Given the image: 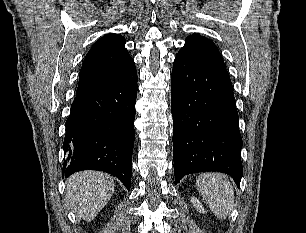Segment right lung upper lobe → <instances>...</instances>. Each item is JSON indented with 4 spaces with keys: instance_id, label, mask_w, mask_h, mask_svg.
Listing matches in <instances>:
<instances>
[{
    "instance_id": "obj_1",
    "label": "right lung upper lobe",
    "mask_w": 306,
    "mask_h": 233,
    "mask_svg": "<svg viewBox=\"0 0 306 233\" xmlns=\"http://www.w3.org/2000/svg\"><path fill=\"white\" fill-rule=\"evenodd\" d=\"M125 42L123 36L110 33L94 43L80 70L76 96L108 87L130 72L135 65Z\"/></svg>"
}]
</instances>
